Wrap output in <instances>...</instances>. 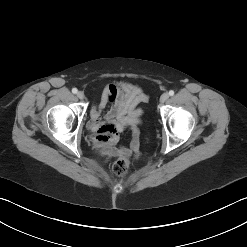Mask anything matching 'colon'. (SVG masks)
<instances>
[{
  "label": "colon",
  "instance_id": "colon-1",
  "mask_svg": "<svg viewBox=\"0 0 247 247\" xmlns=\"http://www.w3.org/2000/svg\"><path fill=\"white\" fill-rule=\"evenodd\" d=\"M129 169V160L125 157L119 158L112 166L113 172L117 176H124Z\"/></svg>",
  "mask_w": 247,
  "mask_h": 247
}]
</instances>
